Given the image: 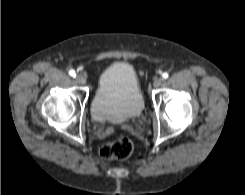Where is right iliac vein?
Instances as JSON below:
<instances>
[{"label": "right iliac vein", "mask_w": 245, "mask_h": 195, "mask_svg": "<svg viewBox=\"0 0 245 195\" xmlns=\"http://www.w3.org/2000/svg\"><path fill=\"white\" fill-rule=\"evenodd\" d=\"M75 80L79 83V84H85L86 83V77L82 74H77Z\"/></svg>", "instance_id": "obj_1"}]
</instances>
